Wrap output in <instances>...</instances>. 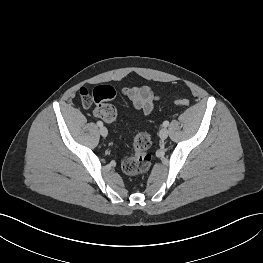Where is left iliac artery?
<instances>
[{"instance_id": "1", "label": "left iliac artery", "mask_w": 263, "mask_h": 263, "mask_svg": "<svg viewBox=\"0 0 263 263\" xmlns=\"http://www.w3.org/2000/svg\"><path fill=\"white\" fill-rule=\"evenodd\" d=\"M168 125H169V121H164V122H163V126H164V127H167Z\"/></svg>"}]
</instances>
